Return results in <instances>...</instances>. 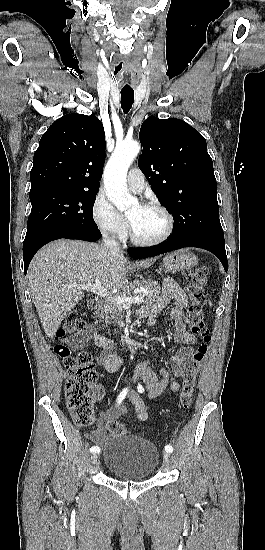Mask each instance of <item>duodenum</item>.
Wrapping results in <instances>:
<instances>
[{
	"label": "duodenum",
	"mask_w": 265,
	"mask_h": 550,
	"mask_svg": "<svg viewBox=\"0 0 265 550\" xmlns=\"http://www.w3.org/2000/svg\"><path fill=\"white\" fill-rule=\"evenodd\" d=\"M102 306V300L100 298H92L88 302V309L92 312L100 310Z\"/></svg>",
	"instance_id": "1"
}]
</instances>
